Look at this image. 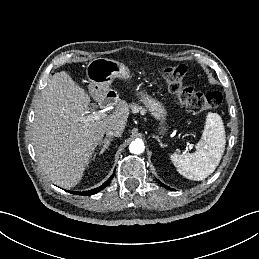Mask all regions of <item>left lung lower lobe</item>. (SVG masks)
I'll list each match as a JSON object with an SVG mask.
<instances>
[{
    "mask_svg": "<svg viewBox=\"0 0 259 259\" xmlns=\"http://www.w3.org/2000/svg\"><path fill=\"white\" fill-rule=\"evenodd\" d=\"M160 184H161L162 186H164V184H163V183H161V182H160ZM165 187H166L167 189H170V188H169V187H167V186H165ZM171 190H173V189H171Z\"/></svg>",
    "mask_w": 259,
    "mask_h": 259,
    "instance_id": "left-lung-lower-lobe-1",
    "label": "left lung lower lobe"
}]
</instances>
